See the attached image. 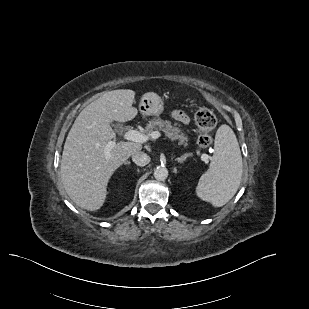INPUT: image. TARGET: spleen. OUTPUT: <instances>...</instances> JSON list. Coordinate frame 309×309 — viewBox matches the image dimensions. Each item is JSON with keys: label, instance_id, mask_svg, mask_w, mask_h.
I'll return each instance as SVG.
<instances>
[{"label": "spleen", "instance_id": "1", "mask_svg": "<svg viewBox=\"0 0 309 309\" xmlns=\"http://www.w3.org/2000/svg\"><path fill=\"white\" fill-rule=\"evenodd\" d=\"M209 169L200 177L197 196L214 207H222L236 194L242 178V156L233 130L221 125L215 136Z\"/></svg>", "mask_w": 309, "mask_h": 309}]
</instances>
